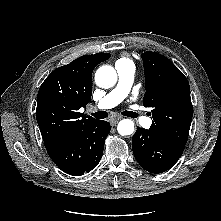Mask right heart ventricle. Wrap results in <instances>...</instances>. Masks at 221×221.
<instances>
[{"label":"right heart ventricle","mask_w":221,"mask_h":221,"mask_svg":"<svg viewBox=\"0 0 221 221\" xmlns=\"http://www.w3.org/2000/svg\"><path fill=\"white\" fill-rule=\"evenodd\" d=\"M118 64H132V61L128 57H121L115 62V65Z\"/></svg>","instance_id":"obj_1"}]
</instances>
